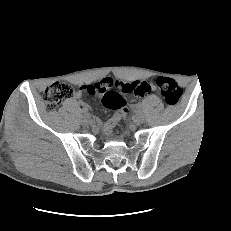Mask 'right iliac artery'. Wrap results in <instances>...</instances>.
Wrapping results in <instances>:
<instances>
[{
	"instance_id": "82829eb1",
	"label": "right iliac artery",
	"mask_w": 231,
	"mask_h": 231,
	"mask_svg": "<svg viewBox=\"0 0 231 231\" xmlns=\"http://www.w3.org/2000/svg\"><path fill=\"white\" fill-rule=\"evenodd\" d=\"M82 112H83L84 114H88V109H87V108H83V109H82Z\"/></svg>"
}]
</instances>
